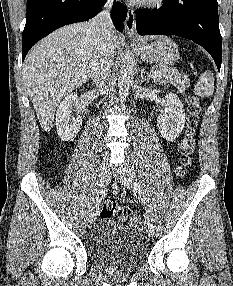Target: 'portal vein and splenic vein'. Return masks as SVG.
<instances>
[{
	"instance_id": "obj_1",
	"label": "portal vein and splenic vein",
	"mask_w": 233,
	"mask_h": 286,
	"mask_svg": "<svg viewBox=\"0 0 233 286\" xmlns=\"http://www.w3.org/2000/svg\"><path fill=\"white\" fill-rule=\"evenodd\" d=\"M161 76V72H153L151 77L156 78V77H160Z\"/></svg>"
}]
</instances>
